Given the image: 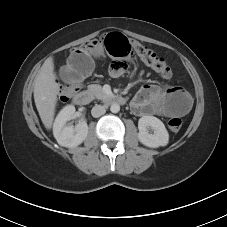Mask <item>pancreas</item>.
<instances>
[{
  "label": "pancreas",
  "mask_w": 227,
  "mask_h": 227,
  "mask_svg": "<svg viewBox=\"0 0 227 227\" xmlns=\"http://www.w3.org/2000/svg\"><path fill=\"white\" fill-rule=\"evenodd\" d=\"M89 91L100 100H105L108 96L103 92L102 87L100 85H90Z\"/></svg>",
  "instance_id": "pancreas-1"
}]
</instances>
